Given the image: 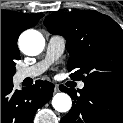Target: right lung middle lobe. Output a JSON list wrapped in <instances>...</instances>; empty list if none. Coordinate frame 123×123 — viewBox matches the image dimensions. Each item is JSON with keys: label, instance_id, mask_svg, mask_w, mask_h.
Returning a JSON list of instances; mask_svg holds the SVG:
<instances>
[{"label": "right lung middle lobe", "instance_id": "1", "mask_svg": "<svg viewBox=\"0 0 123 123\" xmlns=\"http://www.w3.org/2000/svg\"><path fill=\"white\" fill-rule=\"evenodd\" d=\"M20 52L15 41L1 33V83L11 82Z\"/></svg>", "mask_w": 123, "mask_h": 123}]
</instances>
